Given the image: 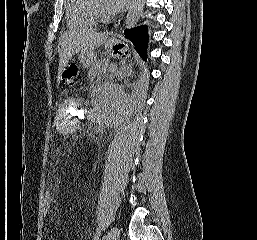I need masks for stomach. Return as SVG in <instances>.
<instances>
[{"mask_svg":"<svg viewBox=\"0 0 257 240\" xmlns=\"http://www.w3.org/2000/svg\"><path fill=\"white\" fill-rule=\"evenodd\" d=\"M106 51L113 57H120L126 51V45L121 40L110 38L106 44ZM84 68L90 67L96 61V54L92 52H80L78 57Z\"/></svg>","mask_w":257,"mask_h":240,"instance_id":"0dacf381","label":"stomach"}]
</instances>
